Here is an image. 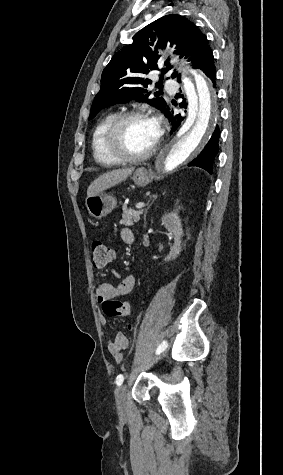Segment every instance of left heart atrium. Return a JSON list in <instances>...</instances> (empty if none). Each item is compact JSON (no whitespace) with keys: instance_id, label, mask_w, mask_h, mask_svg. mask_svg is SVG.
<instances>
[{"instance_id":"39dd6f15","label":"left heart atrium","mask_w":283,"mask_h":475,"mask_svg":"<svg viewBox=\"0 0 283 475\" xmlns=\"http://www.w3.org/2000/svg\"><path fill=\"white\" fill-rule=\"evenodd\" d=\"M153 125L156 129V136L158 137L160 135V122L157 118H153Z\"/></svg>"}]
</instances>
